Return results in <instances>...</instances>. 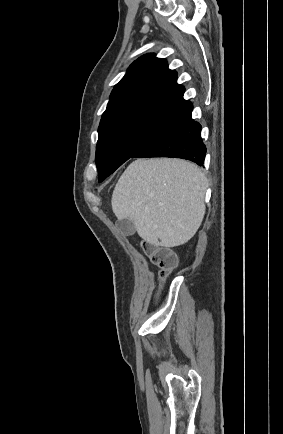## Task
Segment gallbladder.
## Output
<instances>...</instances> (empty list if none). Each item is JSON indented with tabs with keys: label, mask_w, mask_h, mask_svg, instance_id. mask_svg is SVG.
Wrapping results in <instances>:
<instances>
[{
	"label": "gallbladder",
	"mask_w": 283,
	"mask_h": 434,
	"mask_svg": "<svg viewBox=\"0 0 283 434\" xmlns=\"http://www.w3.org/2000/svg\"><path fill=\"white\" fill-rule=\"evenodd\" d=\"M116 225L119 230L126 236H131L136 231L133 222L130 221L128 218L117 221Z\"/></svg>",
	"instance_id": "bac80fb5"
}]
</instances>
